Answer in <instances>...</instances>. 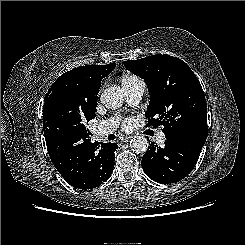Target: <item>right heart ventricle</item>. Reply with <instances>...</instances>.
<instances>
[{
	"instance_id": "e07e8e85",
	"label": "right heart ventricle",
	"mask_w": 245,
	"mask_h": 245,
	"mask_svg": "<svg viewBox=\"0 0 245 245\" xmlns=\"http://www.w3.org/2000/svg\"><path fill=\"white\" fill-rule=\"evenodd\" d=\"M139 78L136 77L135 75L133 74H123L122 77H121V81H122V85L123 86H126V85H129V84H132L133 82L137 81Z\"/></svg>"
}]
</instances>
